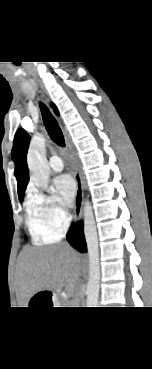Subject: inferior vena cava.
I'll list each match as a JSON object with an SVG mask.
<instances>
[{
  "instance_id": "obj_1",
  "label": "inferior vena cava",
  "mask_w": 152,
  "mask_h": 369,
  "mask_svg": "<svg viewBox=\"0 0 152 369\" xmlns=\"http://www.w3.org/2000/svg\"><path fill=\"white\" fill-rule=\"evenodd\" d=\"M64 245H67V246H68V244H67V243H64Z\"/></svg>"
}]
</instances>
